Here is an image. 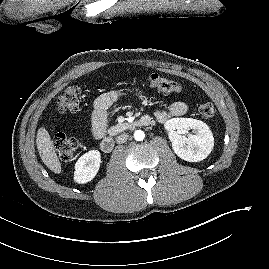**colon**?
<instances>
[{
	"label": "colon",
	"mask_w": 269,
	"mask_h": 269,
	"mask_svg": "<svg viewBox=\"0 0 269 269\" xmlns=\"http://www.w3.org/2000/svg\"><path fill=\"white\" fill-rule=\"evenodd\" d=\"M147 81L152 88L164 94H175L181 91L179 83L157 73L149 74ZM57 106L61 113H77L80 110L78 87L68 86L58 98ZM198 111L205 118H211L215 114L214 106L211 103L201 104ZM54 147L62 160L69 161L75 156L79 143L75 138L60 133L54 138Z\"/></svg>",
	"instance_id": "colon-1"
}]
</instances>
